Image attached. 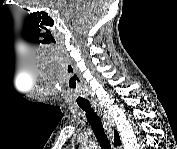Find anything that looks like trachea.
<instances>
[{
	"mask_svg": "<svg viewBox=\"0 0 177 149\" xmlns=\"http://www.w3.org/2000/svg\"><path fill=\"white\" fill-rule=\"evenodd\" d=\"M80 98V95H78L77 104L83 111L86 112V117L93 129V132L100 144L101 149H111L110 142L104 132L102 122L99 119L98 115L94 112L90 103H81L79 101Z\"/></svg>",
	"mask_w": 177,
	"mask_h": 149,
	"instance_id": "3493384b",
	"label": "trachea"
}]
</instances>
